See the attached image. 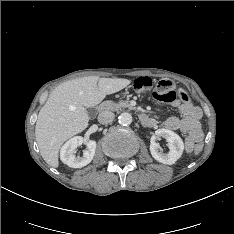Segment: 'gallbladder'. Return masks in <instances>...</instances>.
Returning a JSON list of instances; mask_svg holds the SVG:
<instances>
[{
	"label": "gallbladder",
	"instance_id": "obj_1",
	"mask_svg": "<svg viewBox=\"0 0 234 234\" xmlns=\"http://www.w3.org/2000/svg\"><path fill=\"white\" fill-rule=\"evenodd\" d=\"M87 112H88V114H89L90 116H92V115L95 113V109H94V108H89V109L87 110Z\"/></svg>",
	"mask_w": 234,
	"mask_h": 234
}]
</instances>
